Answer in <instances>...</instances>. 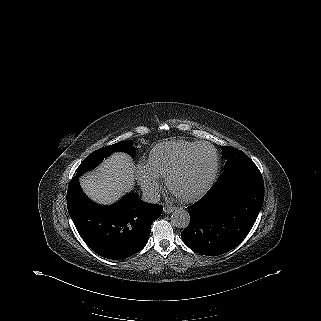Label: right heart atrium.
Returning a JSON list of instances; mask_svg holds the SVG:
<instances>
[{"label":"right heart atrium","instance_id":"1","mask_svg":"<svg viewBox=\"0 0 321 321\" xmlns=\"http://www.w3.org/2000/svg\"><path fill=\"white\" fill-rule=\"evenodd\" d=\"M136 175L142 189L150 195H155L159 189V178L151 172L147 163H138Z\"/></svg>","mask_w":321,"mask_h":321}]
</instances>
